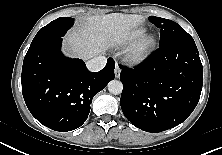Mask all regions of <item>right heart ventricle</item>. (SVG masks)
Listing matches in <instances>:
<instances>
[{
	"instance_id": "right-heart-ventricle-1",
	"label": "right heart ventricle",
	"mask_w": 222,
	"mask_h": 155,
	"mask_svg": "<svg viewBox=\"0 0 222 155\" xmlns=\"http://www.w3.org/2000/svg\"><path fill=\"white\" fill-rule=\"evenodd\" d=\"M145 32H146V28L144 27L134 29L130 31L129 33H127V35L125 36L124 42L125 43L135 42L138 39H140L145 34Z\"/></svg>"
}]
</instances>
